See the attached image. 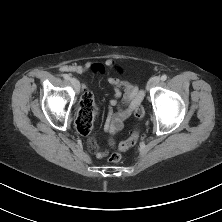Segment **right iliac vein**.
Masks as SVG:
<instances>
[{"instance_id":"obj_1","label":"right iliac vein","mask_w":222,"mask_h":222,"mask_svg":"<svg viewBox=\"0 0 222 222\" xmlns=\"http://www.w3.org/2000/svg\"><path fill=\"white\" fill-rule=\"evenodd\" d=\"M71 84L74 86V88L76 89V91H79L80 89V84L79 81L76 78H71L70 79Z\"/></svg>"}]
</instances>
